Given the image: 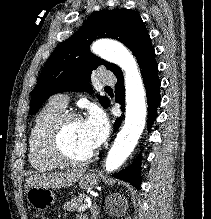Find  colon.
<instances>
[{"label": "colon", "mask_w": 211, "mask_h": 219, "mask_svg": "<svg viewBox=\"0 0 211 219\" xmlns=\"http://www.w3.org/2000/svg\"><path fill=\"white\" fill-rule=\"evenodd\" d=\"M33 219H49V217L46 215L37 214L33 217Z\"/></svg>", "instance_id": "colon-1"}]
</instances>
